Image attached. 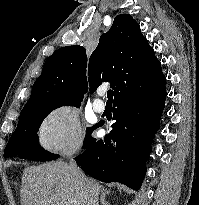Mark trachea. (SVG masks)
<instances>
[{"instance_id": "trachea-1", "label": "trachea", "mask_w": 199, "mask_h": 205, "mask_svg": "<svg viewBox=\"0 0 199 205\" xmlns=\"http://www.w3.org/2000/svg\"><path fill=\"white\" fill-rule=\"evenodd\" d=\"M113 95H114L113 90H109L107 92V98L109 101H111L113 99Z\"/></svg>"}]
</instances>
